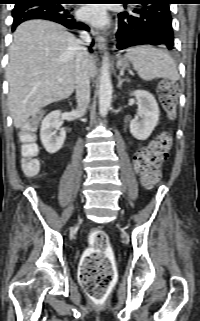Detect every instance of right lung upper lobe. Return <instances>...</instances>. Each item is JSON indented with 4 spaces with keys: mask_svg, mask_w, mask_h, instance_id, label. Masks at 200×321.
Here are the masks:
<instances>
[{
    "mask_svg": "<svg viewBox=\"0 0 200 321\" xmlns=\"http://www.w3.org/2000/svg\"><path fill=\"white\" fill-rule=\"evenodd\" d=\"M14 1H15V4L18 5V4H22V3L30 1V0H14Z\"/></svg>",
    "mask_w": 200,
    "mask_h": 321,
    "instance_id": "obj_1",
    "label": "right lung upper lobe"
}]
</instances>
